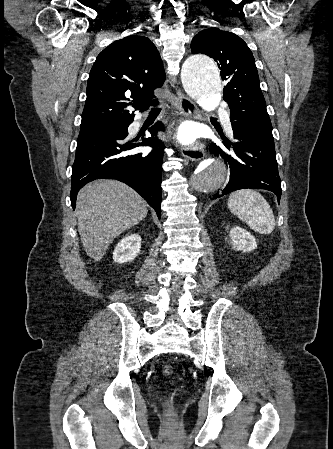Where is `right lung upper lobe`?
<instances>
[{
  "instance_id": "right-lung-upper-lobe-1",
  "label": "right lung upper lobe",
  "mask_w": 333,
  "mask_h": 449,
  "mask_svg": "<svg viewBox=\"0 0 333 449\" xmlns=\"http://www.w3.org/2000/svg\"><path fill=\"white\" fill-rule=\"evenodd\" d=\"M164 80L160 54L149 38L131 35L114 41L90 71L80 129L131 120L134 112L127 108L147 109Z\"/></svg>"
}]
</instances>
